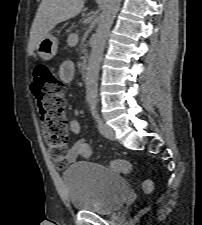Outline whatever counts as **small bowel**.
Here are the masks:
<instances>
[{
    "label": "small bowel",
    "instance_id": "obj_1",
    "mask_svg": "<svg viewBox=\"0 0 202 225\" xmlns=\"http://www.w3.org/2000/svg\"><path fill=\"white\" fill-rule=\"evenodd\" d=\"M76 73L75 64L67 60L63 62L58 70L59 77L62 81L69 83L73 81ZM69 131L73 134H79L81 131V123L77 118L68 119ZM92 156L91 144L84 138H80L73 143L70 147L67 155L63 158V163L60 166L65 164H72L78 159H88Z\"/></svg>",
    "mask_w": 202,
    "mask_h": 225
}]
</instances>
